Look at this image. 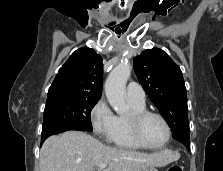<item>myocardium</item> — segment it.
Returning <instances> with one entry per match:
<instances>
[{
	"mask_svg": "<svg viewBox=\"0 0 223 171\" xmlns=\"http://www.w3.org/2000/svg\"><path fill=\"white\" fill-rule=\"evenodd\" d=\"M148 116L157 117L158 119L162 121V123L164 124L166 128L167 136L164 143L160 146H157V147L149 146L143 141L141 137L140 126H141L142 121ZM127 122H128L129 131L133 140L144 149L153 150V151L163 149L169 143L171 139V127L168 121L166 120V118L158 112L146 110V109L141 110V111H133L127 117Z\"/></svg>",
	"mask_w": 223,
	"mask_h": 171,
	"instance_id": "1",
	"label": "myocardium"
}]
</instances>
